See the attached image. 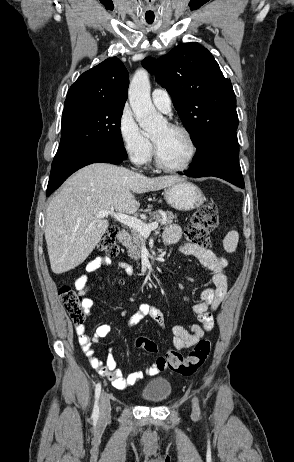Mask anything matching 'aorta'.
<instances>
[{
	"instance_id": "obj_1",
	"label": "aorta",
	"mask_w": 294,
	"mask_h": 462,
	"mask_svg": "<svg viewBox=\"0 0 294 462\" xmlns=\"http://www.w3.org/2000/svg\"><path fill=\"white\" fill-rule=\"evenodd\" d=\"M128 96L135 118L146 133H152L161 127L163 119L152 104L150 81L146 70L139 69L135 72L130 82Z\"/></svg>"
}]
</instances>
